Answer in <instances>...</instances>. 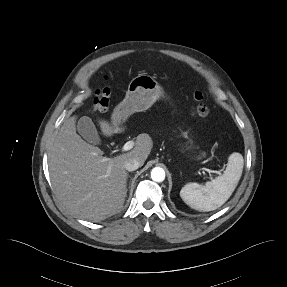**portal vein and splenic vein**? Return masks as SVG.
<instances>
[{"label":"portal vein and splenic vein","mask_w":287,"mask_h":287,"mask_svg":"<svg viewBox=\"0 0 287 287\" xmlns=\"http://www.w3.org/2000/svg\"><path fill=\"white\" fill-rule=\"evenodd\" d=\"M134 144H135V143H134V141H132V140L126 142V143L123 145V147H122V152H126V151L131 150V149L134 147ZM202 170L205 171V172H208L210 175H211L212 173L221 174L219 171L211 170V169H208V168H205V167H203ZM107 176H108V175H107Z\"/></svg>","instance_id":"portal-vein-and-splenic-vein-1"}]
</instances>
